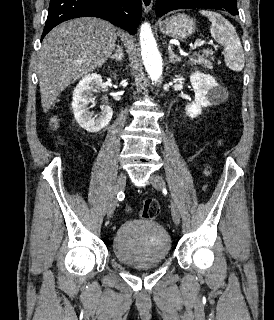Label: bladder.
<instances>
[{
    "instance_id": "31cf9c89",
    "label": "bladder",
    "mask_w": 274,
    "mask_h": 320,
    "mask_svg": "<svg viewBox=\"0 0 274 320\" xmlns=\"http://www.w3.org/2000/svg\"><path fill=\"white\" fill-rule=\"evenodd\" d=\"M112 250L120 262L131 266L158 264L171 251V239L165 228L149 219L123 222L112 239Z\"/></svg>"
}]
</instances>
